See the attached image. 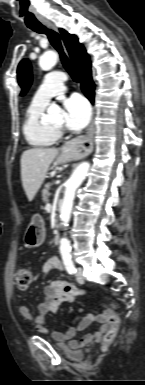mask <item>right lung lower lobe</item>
I'll return each instance as SVG.
<instances>
[{
    "instance_id": "98d812e1",
    "label": "right lung lower lobe",
    "mask_w": 145,
    "mask_h": 385,
    "mask_svg": "<svg viewBox=\"0 0 145 385\" xmlns=\"http://www.w3.org/2000/svg\"><path fill=\"white\" fill-rule=\"evenodd\" d=\"M81 77V88L85 96L91 101L94 102L95 96V84L92 80V71L91 66H85L81 71H79Z\"/></svg>"
}]
</instances>
